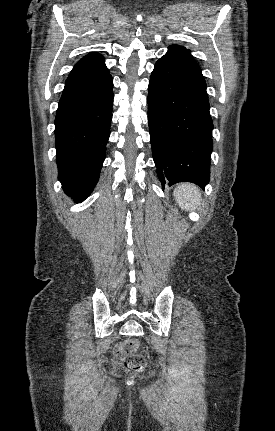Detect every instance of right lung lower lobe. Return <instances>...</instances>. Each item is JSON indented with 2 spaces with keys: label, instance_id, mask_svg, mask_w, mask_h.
<instances>
[{
  "label": "right lung lower lobe",
  "instance_id": "obj_1",
  "mask_svg": "<svg viewBox=\"0 0 275 431\" xmlns=\"http://www.w3.org/2000/svg\"><path fill=\"white\" fill-rule=\"evenodd\" d=\"M113 106L109 70L66 83L55 118L58 178L66 194L85 200L105 159Z\"/></svg>",
  "mask_w": 275,
  "mask_h": 431
}]
</instances>
